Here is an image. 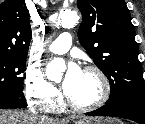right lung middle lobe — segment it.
Listing matches in <instances>:
<instances>
[{
    "label": "right lung middle lobe",
    "mask_w": 145,
    "mask_h": 124,
    "mask_svg": "<svg viewBox=\"0 0 145 124\" xmlns=\"http://www.w3.org/2000/svg\"><path fill=\"white\" fill-rule=\"evenodd\" d=\"M26 57L0 54V90L23 91Z\"/></svg>",
    "instance_id": "dd1d6c3e"
}]
</instances>
